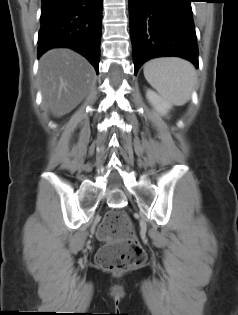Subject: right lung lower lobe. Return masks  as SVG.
Masks as SVG:
<instances>
[{
	"instance_id": "right-lung-lower-lobe-1",
	"label": "right lung lower lobe",
	"mask_w": 238,
	"mask_h": 315,
	"mask_svg": "<svg viewBox=\"0 0 238 315\" xmlns=\"http://www.w3.org/2000/svg\"><path fill=\"white\" fill-rule=\"evenodd\" d=\"M102 0H42L38 57L54 47H68L99 70Z\"/></svg>"
}]
</instances>
